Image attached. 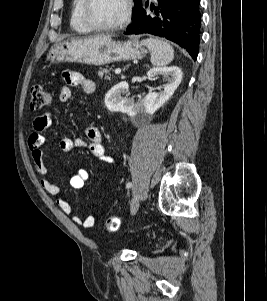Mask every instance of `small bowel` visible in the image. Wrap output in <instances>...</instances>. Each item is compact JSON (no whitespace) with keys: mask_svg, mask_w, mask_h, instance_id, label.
I'll return each instance as SVG.
<instances>
[{"mask_svg":"<svg viewBox=\"0 0 267 301\" xmlns=\"http://www.w3.org/2000/svg\"><path fill=\"white\" fill-rule=\"evenodd\" d=\"M63 79L67 86L62 87L59 93V101L67 102L71 98V89L72 87H78L82 89L86 94H92L95 91V83L83 76L80 73L76 72H65L63 74ZM53 120V114L51 112H46L38 116L34 122L33 127L28 138V146L31 151V157L37 172L41 176L47 174V167L44 163V152L42 146L47 141V138L43 132L48 129ZM87 140L83 138H63L59 142V148L63 152H70L74 148H87L92 155L95 157L105 160L109 163H114L115 160L112 156L106 154L103 142L102 134L99 128L90 126L86 129ZM89 179V173L85 169H79L70 179V186L73 189H81L84 187L85 183ZM41 185L44 190L52 196H57L60 192L58 185L54 184L46 178L41 179ZM57 205L61 211L66 215L72 214L71 204L63 199H57ZM74 223L82 225L85 228H91L94 226L95 219L93 216H87L82 218L79 215H74L72 217Z\"/></svg>","mask_w":267,"mask_h":301,"instance_id":"small-bowel-1","label":"small bowel"}]
</instances>
